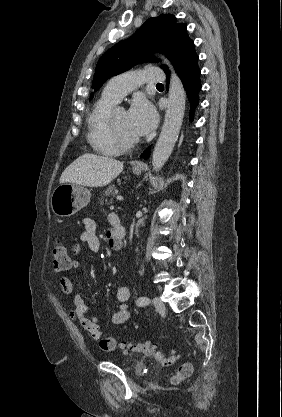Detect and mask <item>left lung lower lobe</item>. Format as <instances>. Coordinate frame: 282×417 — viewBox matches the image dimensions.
Segmentation results:
<instances>
[{
	"label": "left lung lower lobe",
	"instance_id": "obj_1",
	"mask_svg": "<svg viewBox=\"0 0 282 417\" xmlns=\"http://www.w3.org/2000/svg\"><path fill=\"white\" fill-rule=\"evenodd\" d=\"M176 72L183 82L187 91V96L191 104L190 119H193V111L198 105V93L201 89L200 69L198 67V55L195 52L194 43L191 41L186 47L181 49L172 61ZM169 81V71H165ZM168 89V84H167ZM150 155L148 148L141 154V158L147 159Z\"/></svg>",
	"mask_w": 282,
	"mask_h": 417
}]
</instances>
